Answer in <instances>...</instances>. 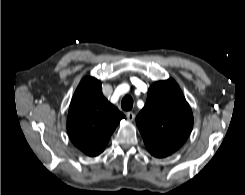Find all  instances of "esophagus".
Masks as SVG:
<instances>
[{
    "mask_svg": "<svg viewBox=\"0 0 245 195\" xmlns=\"http://www.w3.org/2000/svg\"><path fill=\"white\" fill-rule=\"evenodd\" d=\"M126 117L129 121H133L135 119V114L133 112H127Z\"/></svg>",
    "mask_w": 245,
    "mask_h": 195,
    "instance_id": "obj_1",
    "label": "esophagus"
}]
</instances>
